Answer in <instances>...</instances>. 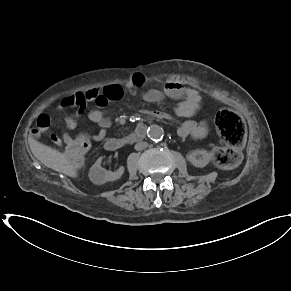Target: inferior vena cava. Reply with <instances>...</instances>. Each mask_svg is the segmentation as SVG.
Instances as JSON below:
<instances>
[{
    "mask_svg": "<svg viewBox=\"0 0 291 291\" xmlns=\"http://www.w3.org/2000/svg\"><path fill=\"white\" fill-rule=\"evenodd\" d=\"M148 143L147 142H138L137 144H135V150L139 151V150H143L145 148H147Z\"/></svg>",
    "mask_w": 291,
    "mask_h": 291,
    "instance_id": "obj_1",
    "label": "inferior vena cava"
}]
</instances>
